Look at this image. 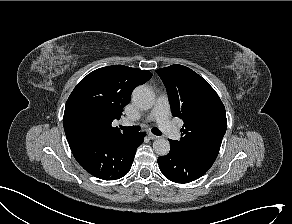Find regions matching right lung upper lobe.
<instances>
[{
	"mask_svg": "<svg viewBox=\"0 0 292 224\" xmlns=\"http://www.w3.org/2000/svg\"><path fill=\"white\" fill-rule=\"evenodd\" d=\"M152 77L147 70L123 65L99 68L83 78L70 94L63 125L68 141L122 138L132 133L112 127L120 119L135 87Z\"/></svg>",
	"mask_w": 292,
	"mask_h": 224,
	"instance_id": "1",
	"label": "right lung upper lobe"
}]
</instances>
